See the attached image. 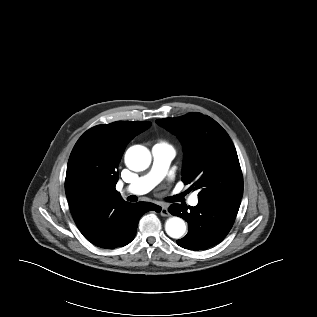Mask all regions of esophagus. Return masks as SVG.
Returning <instances> with one entry per match:
<instances>
[{
	"mask_svg": "<svg viewBox=\"0 0 317 317\" xmlns=\"http://www.w3.org/2000/svg\"><path fill=\"white\" fill-rule=\"evenodd\" d=\"M160 214L164 217H167L170 215L166 205L162 206Z\"/></svg>",
	"mask_w": 317,
	"mask_h": 317,
	"instance_id": "obj_1",
	"label": "esophagus"
}]
</instances>
